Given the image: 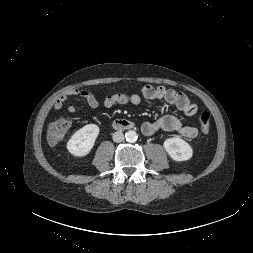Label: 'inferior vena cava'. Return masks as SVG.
<instances>
[{"label":"inferior vena cava","mask_w":253,"mask_h":253,"mask_svg":"<svg viewBox=\"0 0 253 253\" xmlns=\"http://www.w3.org/2000/svg\"><path fill=\"white\" fill-rule=\"evenodd\" d=\"M124 140V134L121 131H117L113 134V141L116 143L122 142Z\"/></svg>","instance_id":"inferior-vena-cava-1"}]
</instances>
